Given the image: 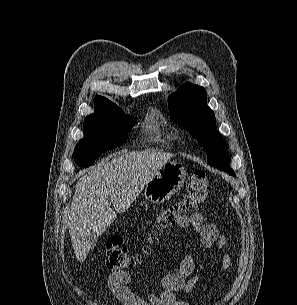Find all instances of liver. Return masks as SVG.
Returning <instances> with one entry per match:
<instances>
[{
	"label": "liver",
	"instance_id": "liver-1",
	"mask_svg": "<svg viewBox=\"0 0 297 305\" xmlns=\"http://www.w3.org/2000/svg\"><path fill=\"white\" fill-rule=\"evenodd\" d=\"M172 157L173 154L153 150L122 152L79 179L68 221L79 262H84L90 251L88 237L102 235L116 219V212H124L155 172Z\"/></svg>",
	"mask_w": 297,
	"mask_h": 305
}]
</instances>
